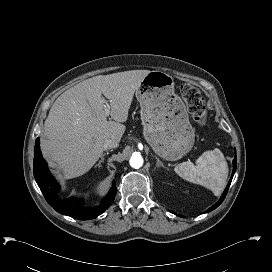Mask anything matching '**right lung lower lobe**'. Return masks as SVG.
<instances>
[{"label":"right lung lower lobe","mask_w":272,"mask_h":272,"mask_svg":"<svg viewBox=\"0 0 272 272\" xmlns=\"http://www.w3.org/2000/svg\"><path fill=\"white\" fill-rule=\"evenodd\" d=\"M34 148V176L38 186L40 187L46 201L59 213L69 215L75 219L87 220L96 218L102 214L114 201L117 193L116 183L113 181V187L106 199L97 207L84 208L83 200L77 198H69L61 200L58 196L59 185L50 174L45 160L39 148V138L36 139Z\"/></svg>","instance_id":"98d812e1"}]
</instances>
